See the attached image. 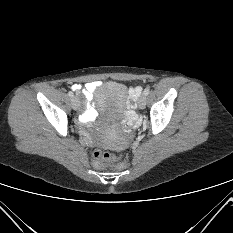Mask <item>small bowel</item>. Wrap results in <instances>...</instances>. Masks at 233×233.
<instances>
[{
  "mask_svg": "<svg viewBox=\"0 0 233 233\" xmlns=\"http://www.w3.org/2000/svg\"><path fill=\"white\" fill-rule=\"evenodd\" d=\"M101 85L100 81H91L84 85L73 84L71 89L79 94H82L86 99V108L85 111L79 116V122L82 125H87L91 123L96 117V111L92 105L93 94L97 88ZM139 93V89H133L131 91L132 96H136Z\"/></svg>",
  "mask_w": 233,
  "mask_h": 233,
  "instance_id": "obj_1",
  "label": "small bowel"
}]
</instances>
